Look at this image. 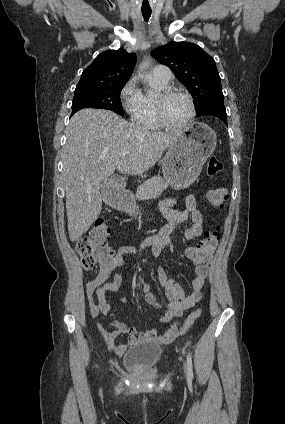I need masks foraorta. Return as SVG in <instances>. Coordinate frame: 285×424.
<instances>
[{
  "label": "aorta",
  "mask_w": 285,
  "mask_h": 424,
  "mask_svg": "<svg viewBox=\"0 0 285 424\" xmlns=\"http://www.w3.org/2000/svg\"><path fill=\"white\" fill-rule=\"evenodd\" d=\"M148 61H144L142 64H141V68H145L146 66H148Z\"/></svg>",
  "instance_id": "aorta-1"
}]
</instances>
